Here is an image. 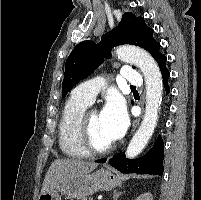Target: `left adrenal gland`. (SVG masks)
I'll return each instance as SVG.
<instances>
[{
    "label": "left adrenal gland",
    "instance_id": "obj_1",
    "mask_svg": "<svg viewBox=\"0 0 201 200\" xmlns=\"http://www.w3.org/2000/svg\"><path fill=\"white\" fill-rule=\"evenodd\" d=\"M122 194H123L122 191H117V190H115V191L113 192V200H117V199L119 198V196L122 195Z\"/></svg>",
    "mask_w": 201,
    "mask_h": 200
}]
</instances>
